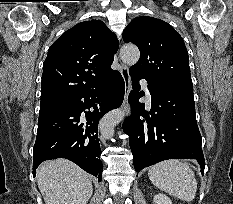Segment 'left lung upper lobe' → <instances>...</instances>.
<instances>
[{
	"label": "left lung upper lobe",
	"mask_w": 233,
	"mask_h": 204,
	"mask_svg": "<svg viewBox=\"0 0 233 204\" xmlns=\"http://www.w3.org/2000/svg\"><path fill=\"white\" fill-rule=\"evenodd\" d=\"M123 39L140 50V59L129 73L158 87L193 92L188 53L171 25L153 17H136L125 28Z\"/></svg>",
	"instance_id": "obj_1"
}]
</instances>
